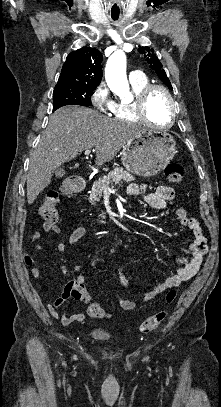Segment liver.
<instances>
[{"label": "liver", "mask_w": 221, "mask_h": 407, "mask_svg": "<svg viewBox=\"0 0 221 407\" xmlns=\"http://www.w3.org/2000/svg\"><path fill=\"white\" fill-rule=\"evenodd\" d=\"M138 125L105 117L84 107L65 106L50 117L30 157L27 202L31 205L51 183L54 171L85 150L95 149L97 165L111 161L135 135Z\"/></svg>", "instance_id": "liver-1"}]
</instances>
